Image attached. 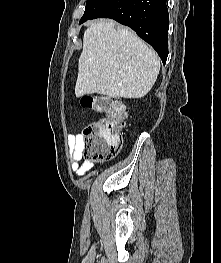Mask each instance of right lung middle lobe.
Wrapping results in <instances>:
<instances>
[{
	"mask_svg": "<svg viewBox=\"0 0 221 263\" xmlns=\"http://www.w3.org/2000/svg\"><path fill=\"white\" fill-rule=\"evenodd\" d=\"M109 0H87L85 12L80 21L92 17Z\"/></svg>",
	"mask_w": 221,
	"mask_h": 263,
	"instance_id": "1",
	"label": "right lung middle lobe"
}]
</instances>
